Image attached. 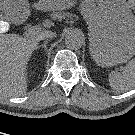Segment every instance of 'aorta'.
I'll list each match as a JSON object with an SVG mask.
<instances>
[{
  "label": "aorta",
  "mask_w": 135,
  "mask_h": 135,
  "mask_svg": "<svg viewBox=\"0 0 135 135\" xmlns=\"http://www.w3.org/2000/svg\"><path fill=\"white\" fill-rule=\"evenodd\" d=\"M84 35L78 29L70 30L65 36V44L72 49H79L84 43Z\"/></svg>",
  "instance_id": "762f6f07"
}]
</instances>
